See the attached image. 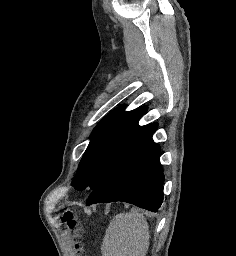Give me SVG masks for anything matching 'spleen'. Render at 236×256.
<instances>
[{
	"label": "spleen",
	"instance_id": "spleen-1",
	"mask_svg": "<svg viewBox=\"0 0 236 256\" xmlns=\"http://www.w3.org/2000/svg\"><path fill=\"white\" fill-rule=\"evenodd\" d=\"M149 238L146 218L132 208L128 214H117L111 220L103 238L102 256H146Z\"/></svg>",
	"mask_w": 236,
	"mask_h": 256
}]
</instances>
